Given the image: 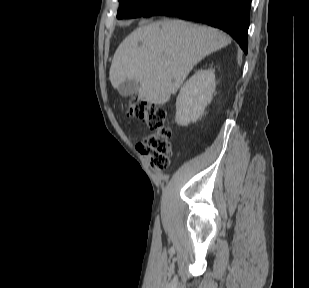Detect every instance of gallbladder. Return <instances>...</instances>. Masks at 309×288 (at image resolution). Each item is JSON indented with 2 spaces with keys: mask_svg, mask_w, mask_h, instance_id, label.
Listing matches in <instances>:
<instances>
[{
  "mask_svg": "<svg viewBox=\"0 0 309 288\" xmlns=\"http://www.w3.org/2000/svg\"><path fill=\"white\" fill-rule=\"evenodd\" d=\"M139 89V84L135 80H126L119 84L117 90L121 96H129L136 93Z\"/></svg>",
  "mask_w": 309,
  "mask_h": 288,
  "instance_id": "1",
  "label": "gallbladder"
}]
</instances>
